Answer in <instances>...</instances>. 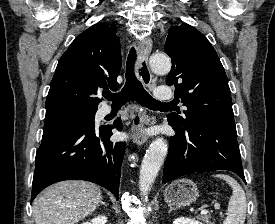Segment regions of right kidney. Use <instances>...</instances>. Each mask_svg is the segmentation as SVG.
<instances>
[{
  "label": "right kidney",
  "instance_id": "obj_1",
  "mask_svg": "<svg viewBox=\"0 0 275 224\" xmlns=\"http://www.w3.org/2000/svg\"><path fill=\"white\" fill-rule=\"evenodd\" d=\"M107 217L106 216H97L94 219H92L90 222H84L82 224H106Z\"/></svg>",
  "mask_w": 275,
  "mask_h": 224
}]
</instances>
